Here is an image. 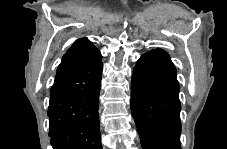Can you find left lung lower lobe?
Returning a JSON list of instances; mask_svg holds the SVG:
<instances>
[{"label":"left lung lower lobe","mask_w":227,"mask_h":149,"mask_svg":"<svg viewBox=\"0 0 227 149\" xmlns=\"http://www.w3.org/2000/svg\"><path fill=\"white\" fill-rule=\"evenodd\" d=\"M180 86L170 56L161 49L140 57L131 81V113L142 149H181Z\"/></svg>","instance_id":"1"}]
</instances>
